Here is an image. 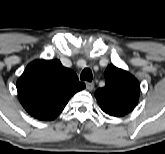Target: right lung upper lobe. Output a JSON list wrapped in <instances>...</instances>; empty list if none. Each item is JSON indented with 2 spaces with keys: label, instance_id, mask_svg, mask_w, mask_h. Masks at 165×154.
<instances>
[{
  "label": "right lung upper lobe",
  "instance_id": "right-lung-upper-lobe-1",
  "mask_svg": "<svg viewBox=\"0 0 165 154\" xmlns=\"http://www.w3.org/2000/svg\"><path fill=\"white\" fill-rule=\"evenodd\" d=\"M85 88L76 73L58 59L31 62L17 81L25 110L39 120H53L76 92Z\"/></svg>",
  "mask_w": 165,
  "mask_h": 154
}]
</instances>
